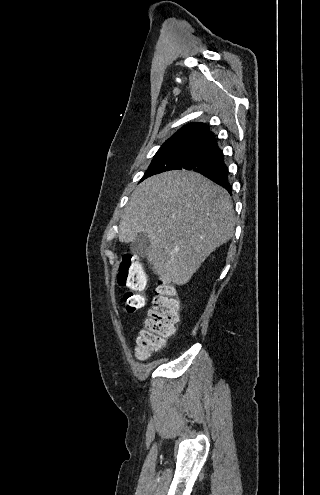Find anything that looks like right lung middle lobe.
Instances as JSON below:
<instances>
[{
  "label": "right lung middle lobe",
  "instance_id": "obj_1",
  "mask_svg": "<svg viewBox=\"0 0 320 495\" xmlns=\"http://www.w3.org/2000/svg\"><path fill=\"white\" fill-rule=\"evenodd\" d=\"M205 143L202 140H179L164 143L155 154L142 180L161 172L178 169Z\"/></svg>",
  "mask_w": 320,
  "mask_h": 495
}]
</instances>
